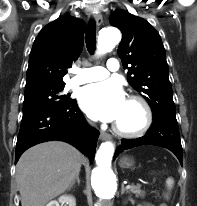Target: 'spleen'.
Masks as SVG:
<instances>
[{
  "instance_id": "obj_1",
  "label": "spleen",
  "mask_w": 197,
  "mask_h": 206,
  "mask_svg": "<svg viewBox=\"0 0 197 206\" xmlns=\"http://www.w3.org/2000/svg\"><path fill=\"white\" fill-rule=\"evenodd\" d=\"M173 185H174V180H173V178H168V179L166 180V186H167V188H168V189H171V188L173 187Z\"/></svg>"
}]
</instances>
